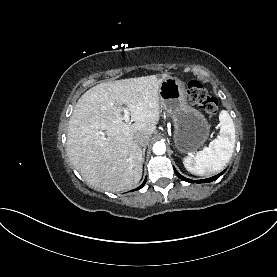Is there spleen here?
I'll return each instance as SVG.
<instances>
[{
	"mask_svg": "<svg viewBox=\"0 0 277 277\" xmlns=\"http://www.w3.org/2000/svg\"><path fill=\"white\" fill-rule=\"evenodd\" d=\"M219 136L212 140L206 149L195 156L183 159L184 167L194 175L211 176L221 171L232 157L235 147V127L226 110L219 114Z\"/></svg>",
	"mask_w": 277,
	"mask_h": 277,
	"instance_id": "spleen-1",
	"label": "spleen"
}]
</instances>
